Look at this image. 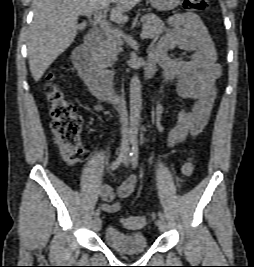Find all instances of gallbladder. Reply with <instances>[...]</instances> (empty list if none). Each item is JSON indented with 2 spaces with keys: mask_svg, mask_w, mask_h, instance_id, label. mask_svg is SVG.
<instances>
[{
  "mask_svg": "<svg viewBox=\"0 0 254 267\" xmlns=\"http://www.w3.org/2000/svg\"><path fill=\"white\" fill-rule=\"evenodd\" d=\"M82 28H83L82 24L78 25V29H82Z\"/></svg>",
  "mask_w": 254,
  "mask_h": 267,
  "instance_id": "1",
  "label": "gallbladder"
}]
</instances>
